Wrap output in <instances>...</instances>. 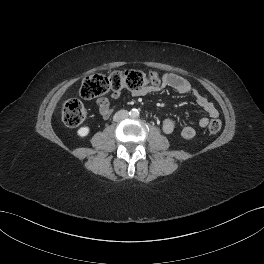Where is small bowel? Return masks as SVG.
<instances>
[{
	"instance_id": "c3829d8e",
	"label": "small bowel",
	"mask_w": 264,
	"mask_h": 264,
	"mask_svg": "<svg viewBox=\"0 0 264 264\" xmlns=\"http://www.w3.org/2000/svg\"><path fill=\"white\" fill-rule=\"evenodd\" d=\"M162 85L168 86L173 88L175 91H177L179 94L183 95H192L198 106H200L210 118H217L219 115V112L217 108L214 106V104L209 101L205 96L199 93V91L193 87L189 81H187L185 78L174 74V73H167L162 78ZM155 90L154 87H145L139 91H134L135 96H144L146 94H149ZM113 99H118L120 97L119 92H113L112 93ZM96 105L98 107L99 113L102 117L107 118L111 115L113 108L111 105V102L106 97H101L96 101ZM209 123V119L207 117H202L199 119L197 124L195 126L182 124L180 126L179 134L184 139H192L194 138L198 130L201 128H205ZM176 129V125L173 120L171 119H165L162 122V131L165 134H172Z\"/></svg>"
}]
</instances>
